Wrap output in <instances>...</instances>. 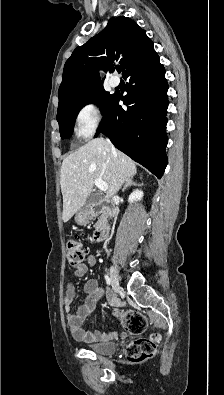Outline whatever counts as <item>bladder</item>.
Here are the masks:
<instances>
[{
  "label": "bladder",
  "instance_id": "31cf9c89",
  "mask_svg": "<svg viewBox=\"0 0 224 395\" xmlns=\"http://www.w3.org/2000/svg\"><path fill=\"white\" fill-rule=\"evenodd\" d=\"M85 348L99 355H109L116 351V344L111 342H94L87 344Z\"/></svg>",
  "mask_w": 224,
  "mask_h": 395
}]
</instances>
